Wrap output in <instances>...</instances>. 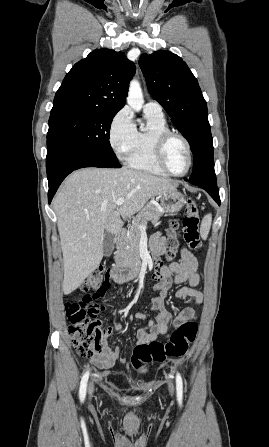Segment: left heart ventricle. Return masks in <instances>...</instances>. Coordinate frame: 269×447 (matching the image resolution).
<instances>
[{"mask_svg": "<svg viewBox=\"0 0 269 447\" xmlns=\"http://www.w3.org/2000/svg\"><path fill=\"white\" fill-rule=\"evenodd\" d=\"M166 158L171 169L176 172L183 171L188 163V155L184 143L179 139L171 140L167 146Z\"/></svg>", "mask_w": 269, "mask_h": 447, "instance_id": "left-heart-ventricle-1", "label": "left heart ventricle"}]
</instances>
